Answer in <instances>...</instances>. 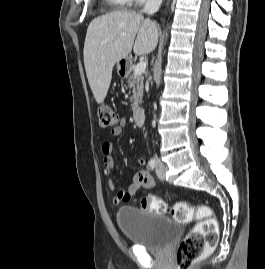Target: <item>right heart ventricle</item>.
<instances>
[{"label":"right heart ventricle","mask_w":265,"mask_h":269,"mask_svg":"<svg viewBox=\"0 0 265 269\" xmlns=\"http://www.w3.org/2000/svg\"><path fill=\"white\" fill-rule=\"evenodd\" d=\"M116 9H125L131 5V0H108Z\"/></svg>","instance_id":"e07e8e85"}]
</instances>
